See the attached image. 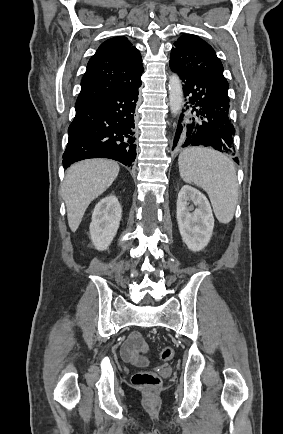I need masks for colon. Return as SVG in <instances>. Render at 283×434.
Wrapping results in <instances>:
<instances>
[{
	"mask_svg": "<svg viewBox=\"0 0 283 434\" xmlns=\"http://www.w3.org/2000/svg\"><path fill=\"white\" fill-rule=\"evenodd\" d=\"M134 354L138 355V351H134ZM160 357L165 361L173 359V349L170 347L163 348L160 351ZM132 383L139 388L152 389L160 385L161 378L155 372L140 371L132 377Z\"/></svg>",
	"mask_w": 283,
	"mask_h": 434,
	"instance_id": "1",
	"label": "colon"
}]
</instances>
